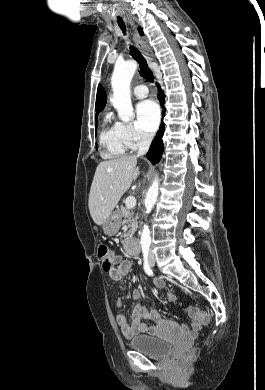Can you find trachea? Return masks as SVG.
Wrapping results in <instances>:
<instances>
[{"label": "trachea", "instance_id": "1", "mask_svg": "<svg viewBox=\"0 0 265 390\" xmlns=\"http://www.w3.org/2000/svg\"><path fill=\"white\" fill-rule=\"evenodd\" d=\"M117 23L119 25V27L121 28V30L123 31V33L125 34L126 32V27H125V24H124V21L121 19V18H118L117 19ZM130 53L132 55V57L137 60V62L139 63V68H140V74L150 83L153 82V74L150 70V68L148 67V64H147V61L145 60V58L142 56V54L134 47V46H130Z\"/></svg>", "mask_w": 265, "mask_h": 390}]
</instances>
